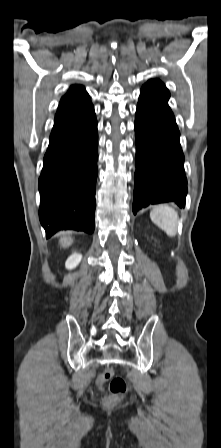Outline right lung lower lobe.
<instances>
[{
	"label": "right lung lower lobe",
	"mask_w": 221,
	"mask_h": 448,
	"mask_svg": "<svg viewBox=\"0 0 221 448\" xmlns=\"http://www.w3.org/2000/svg\"><path fill=\"white\" fill-rule=\"evenodd\" d=\"M97 143L88 94L58 108L39 177V218L47 238L61 229L93 233Z\"/></svg>",
	"instance_id": "obj_1"
}]
</instances>
